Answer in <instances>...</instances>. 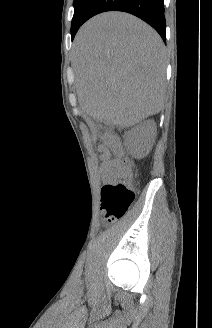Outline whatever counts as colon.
<instances>
[{
  "label": "colon",
  "instance_id": "obj_1",
  "mask_svg": "<svg viewBox=\"0 0 212 328\" xmlns=\"http://www.w3.org/2000/svg\"><path fill=\"white\" fill-rule=\"evenodd\" d=\"M104 144L118 154L122 159L120 175L123 181L107 184L101 191V210L104 221L113 223L121 219L135 199L134 167L125 156L118 139L112 134L103 136Z\"/></svg>",
  "mask_w": 212,
  "mask_h": 328
}]
</instances>
